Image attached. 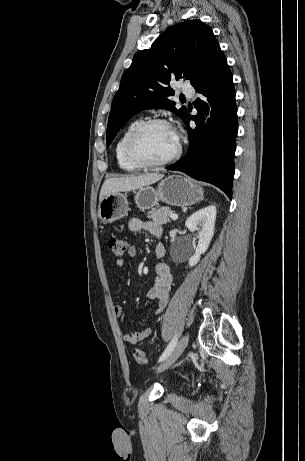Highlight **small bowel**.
<instances>
[{
  "label": "small bowel",
  "mask_w": 305,
  "mask_h": 461,
  "mask_svg": "<svg viewBox=\"0 0 305 461\" xmlns=\"http://www.w3.org/2000/svg\"><path fill=\"white\" fill-rule=\"evenodd\" d=\"M129 230L133 233H149L155 237L162 235V227L152 221L133 218L129 221ZM155 256L162 259L165 256V247L159 243L155 246ZM137 255L135 246H129L126 250L127 258H134ZM116 265L120 269L125 266V259L118 258ZM156 278L152 288L148 292V298L156 303L155 313L160 314L164 311L169 301L170 292L173 283V277L167 263L159 262L155 266ZM113 312L115 315L120 316L123 312L122 306L119 304L113 305ZM153 329L150 327L144 328L137 332H127L123 335V339L127 344L135 345L145 338L151 336Z\"/></svg>",
  "instance_id": "small-bowel-1"
}]
</instances>
